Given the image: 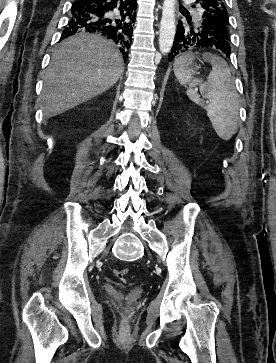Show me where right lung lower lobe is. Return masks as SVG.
Returning <instances> with one entry per match:
<instances>
[{
	"mask_svg": "<svg viewBox=\"0 0 276 363\" xmlns=\"http://www.w3.org/2000/svg\"><path fill=\"white\" fill-rule=\"evenodd\" d=\"M136 8V0H76L61 39L82 32L101 34L111 39L127 58Z\"/></svg>",
	"mask_w": 276,
	"mask_h": 363,
	"instance_id": "right-lung-lower-lobe-1",
	"label": "right lung lower lobe"
}]
</instances>
